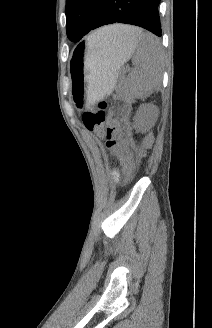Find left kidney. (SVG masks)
Listing matches in <instances>:
<instances>
[{"label": "left kidney", "mask_w": 212, "mask_h": 328, "mask_svg": "<svg viewBox=\"0 0 212 328\" xmlns=\"http://www.w3.org/2000/svg\"><path fill=\"white\" fill-rule=\"evenodd\" d=\"M158 117V109L152 104L140 106L135 117V127L140 131L150 129Z\"/></svg>", "instance_id": "left-kidney-1"}]
</instances>
